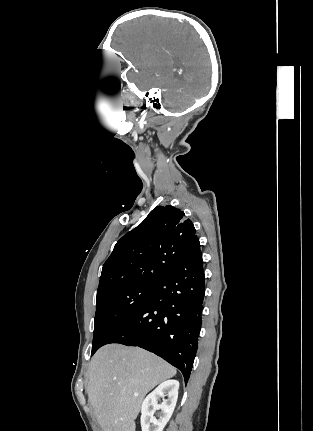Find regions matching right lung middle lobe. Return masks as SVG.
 Wrapping results in <instances>:
<instances>
[{
	"mask_svg": "<svg viewBox=\"0 0 313 431\" xmlns=\"http://www.w3.org/2000/svg\"><path fill=\"white\" fill-rule=\"evenodd\" d=\"M156 287L125 288L97 299L91 356L147 301Z\"/></svg>",
	"mask_w": 313,
	"mask_h": 431,
	"instance_id": "dd1d6c3e",
	"label": "right lung middle lobe"
}]
</instances>
